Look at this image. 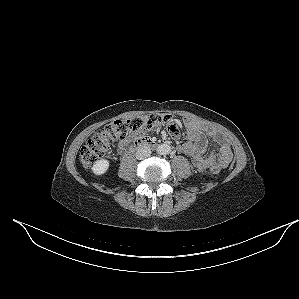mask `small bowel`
I'll use <instances>...</instances> for the list:
<instances>
[{"label":"small bowel","instance_id":"small-bowel-1","mask_svg":"<svg viewBox=\"0 0 299 299\" xmlns=\"http://www.w3.org/2000/svg\"><path fill=\"white\" fill-rule=\"evenodd\" d=\"M190 129L197 132V139L194 142H182L178 145V150L191 158L193 166L199 171H204L212 165L218 164L221 168L226 167L232 160V151L228 142L215 130L206 131L203 126L193 122L188 124ZM178 136V134H173ZM208 137L214 139L218 144V153H206L208 145ZM125 144H121L120 149H123Z\"/></svg>","mask_w":299,"mask_h":299}]
</instances>
